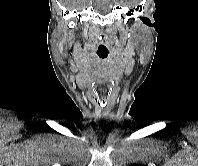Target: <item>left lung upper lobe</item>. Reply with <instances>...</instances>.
<instances>
[{
  "label": "left lung upper lobe",
  "mask_w": 198,
  "mask_h": 166,
  "mask_svg": "<svg viewBox=\"0 0 198 166\" xmlns=\"http://www.w3.org/2000/svg\"><path fill=\"white\" fill-rule=\"evenodd\" d=\"M131 166H143V165H137V164H133V165H131Z\"/></svg>",
  "instance_id": "left-lung-upper-lobe-1"
}]
</instances>
